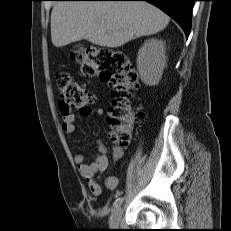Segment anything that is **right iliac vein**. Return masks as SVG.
Segmentation results:
<instances>
[{
	"mask_svg": "<svg viewBox=\"0 0 231 231\" xmlns=\"http://www.w3.org/2000/svg\"><path fill=\"white\" fill-rule=\"evenodd\" d=\"M122 214H123V208L121 206L117 207L111 217H110V221H109V226L111 228H118L119 227V222H120V219L122 217Z\"/></svg>",
	"mask_w": 231,
	"mask_h": 231,
	"instance_id": "obj_1",
	"label": "right iliac vein"
}]
</instances>
